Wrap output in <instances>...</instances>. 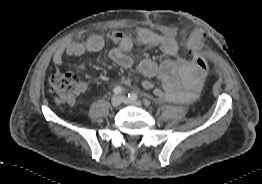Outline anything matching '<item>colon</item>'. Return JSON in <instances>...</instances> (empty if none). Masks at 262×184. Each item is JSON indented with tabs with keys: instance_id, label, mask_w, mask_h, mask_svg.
I'll return each instance as SVG.
<instances>
[{
	"instance_id": "colon-1",
	"label": "colon",
	"mask_w": 262,
	"mask_h": 184,
	"mask_svg": "<svg viewBox=\"0 0 262 184\" xmlns=\"http://www.w3.org/2000/svg\"><path fill=\"white\" fill-rule=\"evenodd\" d=\"M192 64L204 74L210 71L209 62L202 56L193 54ZM49 86L59 100L64 103H72L81 91V83L71 72L55 73L49 78Z\"/></svg>"
}]
</instances>
